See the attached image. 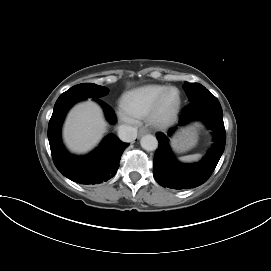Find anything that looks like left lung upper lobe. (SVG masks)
I'll list each match as a JSON object with an SVG mask.
<instances>
[{
	"label": "left lung upper lobe",
	"mask_w": 271,
	"mask_h": 271,
	"mask_svg": "<svg viewBox=\"0 0 271 271\" xmlns=\"http://www.w3.org/2000/svg\"><path fill=\"white\" fill-rule=\"evenodd\" d=\"M184 90L187 93L190 101L212 95L203 85L199 83L193 84L186 82L184 85Z\"/></svg>",
	"instance_id": "1"
}]
</instances>
